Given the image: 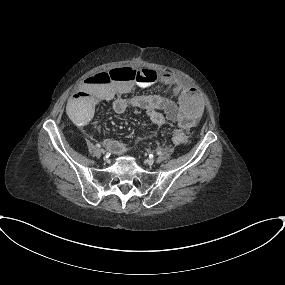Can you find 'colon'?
<instances>
[{
    "label": "colon",
    "mask_w": 285,
    "mask_h": 285,
    "mask_svg": "<svg viewBox=\"0 0 285 285\" xmlns=\"http://www.w3.org/2000/svg\"><path fill=\"white\" fill-rule=\"evenodd\" d=\"M145 75V77L142 76ZM141 75V76H140ZM110 76L115 79H120L125 82L136 83L138 81H154L157 79L158 75L155 71H147L145 69H137V68H124V69H115L112 70ZM91 77V76H90ZM100 82L107 84L110 82V79L105 75H100ZM178 139L181 142L186 141V137L183 134L178 135Z\"/></svg>",
    "instance_id": "obj_1"
}]
</instances>
